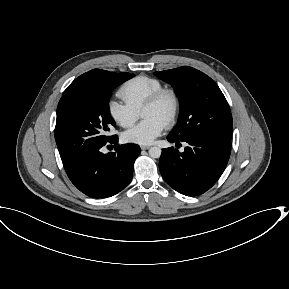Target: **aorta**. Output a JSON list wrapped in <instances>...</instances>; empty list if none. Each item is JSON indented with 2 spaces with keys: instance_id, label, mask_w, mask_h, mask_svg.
<instances>
[{
  "instance_id": "762f6f07",
  "label": "aorta",
  "mask_w": 289,
  "mask_h": 289,
  "mask_svg": "<svg viewBox=\"0 0 289 289\" xmlns=\"http://www.w3.org/2000/svg\"><path fill=\"white\" fill-rule=\"evenodd\" d=\"M161 149L159 147H151L149 149V156L152 158H159L161 156Z\"/></svg>"
}]
</instances>
